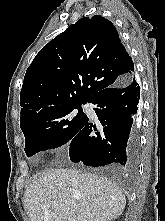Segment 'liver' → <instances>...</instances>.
I'll return each mask as SVG.
<instances>
[{"instance_id": "obj_1", "label": "liver", "mask_w": 165, "mask_h": 221, "mask_svg": "<svg viewBox=\"0 0 165 221\" xmlns=\"http://www.w3.org/2000/svg\"><path fill=\"white\" fill-rule=\"evenodd\" d=\"M23 202L30 221H111L123 213L126 199L105 177L59 168L35 175Z\"/></svg>"}]
</instances>
